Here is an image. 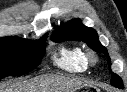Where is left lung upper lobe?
<instances>
[{
    "instance_id": "obj_1",
    "label": "left lung upper lobe",
    "mask_w": 127,
    "mask_h": 92,
    "mask_svg": "<svg viewBox=\"0 0 127 92\" xmlns=\"http://www.w3.org/2000/svg\"><path fill=\"white\" fill-rule=\"evenodd\" d=\"M51 39L55 42L68 40L83 41L94 51L107 55V49L99 42L97 32L92 28L84 26L80 19H73L67 24L57 28ZM108 63L110 64L109 57ZM111 85L117 88H123L121 78L114 73H112Z\"/></svg>"
}]
</instances>
